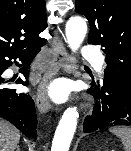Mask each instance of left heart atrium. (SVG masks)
Wrapping results in <instances>:
<instances>
[{
  "label": "left heart atrium",
  "mask_w": 131,
  "mask_h": 151,
  "mask_svg": "<svg viewBox=\"0 0 131 151\" xmlns=\"http://www.w3.org/2000/svg\"><path fill=\"white\" fill-rule=\"evenodd\" d=\"M51 93L57 100H63L68 94V87L64 82H57L51 87Z\"/></svg>",
  "instance_id": "obj_1"
}]
</instances>
